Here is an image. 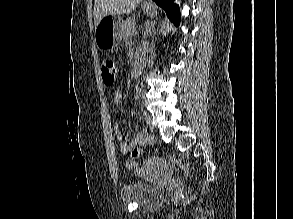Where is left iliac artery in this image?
<instances>
[{"label":"left iliac artery","instance_id":"1","mask_svg":"<svg viewBox=\"0 0 293 219\" xmlns=\"http://www.w3.org/2000/svg\"><path fill=\"white\" fill-rule=\"evenodd\" d=\"M136 93H137V96H139V97L144 96V92L141 89H138Z\"/></svg>","mask_w":293,"mask_h":219}]
</instances>
